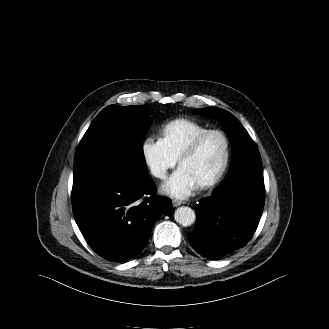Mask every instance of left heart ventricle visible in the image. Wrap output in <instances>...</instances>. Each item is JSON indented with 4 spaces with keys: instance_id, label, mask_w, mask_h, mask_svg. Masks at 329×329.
I'll list each match as a JSON object with an SVG mask.
<instances>
[{
    "instance_id": "left-heart-ventricle-1",
    "label": "left heart ventricle",
    "mask_w": 329,
    "mask_h": 329,
    "mask_svg": "<svg viewBox=\"0 0 329 329\" xmlns=\"http://www.w3.org/2000/svg\"><path fill=\"white\" fill-rule=\"evenodd\" d=\"M224 151L223 139L216 134L209 135L202 141L196 153L185 159L180 167L200 184L218 171L224 158Z\"/></svg>"
}]
</instances>
